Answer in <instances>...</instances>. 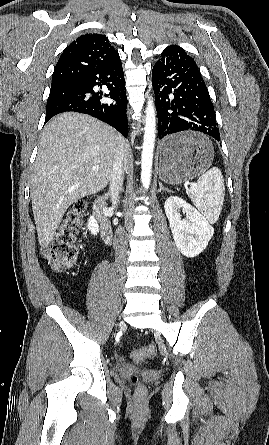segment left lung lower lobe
I'll list each match as a JSON object with an SVG mask.
<instances>
[{"label": "left lung lower lobe", "mask_w": 269, "mask_h": 445, "mask_svg": "<svg viewBox=\"0 0 269 445\" xmlns=\"http://www.w3.org/2000/svg\"><path fill=\"white\" fill-rule=\"evenodd\" d=\"M159 138L180 131H197L220 139L214 106L195 61L179 46H169L152 69ZM168 143L163 152L176 154Z\"/></svg>", "instance_id": "obj_1"}]
</instances>
